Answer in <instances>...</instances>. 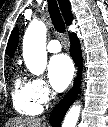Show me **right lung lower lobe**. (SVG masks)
Here are the masks:
<instances>
[{"mask_svg":"<svg viewBox=\"0 0 108 127\" xmlns=\"http://www.w3.org/2000/svg\"><path fill=\"white\" fill-rule=\"evenodd\" d=\"M70 41H71L70 54H71L74 62L77 65H79V68L81 70L82 53H81V48H80V42H79L76 34H74V33L70 34ZM80 79H81L80 77L76 78L74 87L70 90L68 95L59 104L56 105L53 112L51 113L50 119H51V124L53 127H58L61 124L68 108L76 99V97L78 95V91H79Z\"/></svg>","mask_w":108,"mask_h":127,"instance_id":"obj_1","label":"right lung lower lobe"}]
</instances>
